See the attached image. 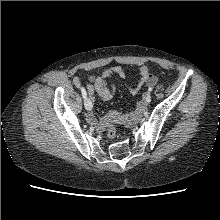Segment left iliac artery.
Segmentation results:
<instances>
[{
	"instance_id": "obj_1",
	"label": "left iliac artery",
	"mask_w": 220,
	"mask_h": 220,
	"mask_svg": "<svg viewBox=\"0 0 220 220\" xmlns=\"http://www.w3.org/2000/svg\"><path fill=\"white\" fill-rule=\"evenodd\" d=\"M152 90H153V88H152V87H149V88H148V91H149V92H151ZM146 100H147L148 102H150V101H151V99H148V98H146Z\"/></svg>"
}]
</instances>
